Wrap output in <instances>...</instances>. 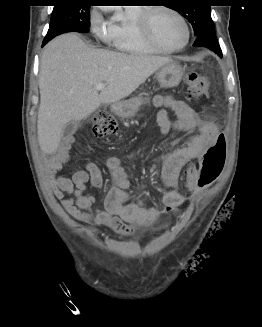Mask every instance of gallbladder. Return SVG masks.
<instances>
[{
  "instance_id": "gallbladder-1",
  "label": "gallbladder",
  "mask_w": 262,
  "mask_h": 327,
  "mask_svg": "<svg viewBox=\"0 0 262 327\" xmlns=\"http://www.w3.org/2000/svg\"><path fill=\"white\" fill-rule=\"evenodd\" d=\"M78 124L76 122H69L66 124L63 130V134L65 137H70L72 136L75 131L77 130Z\"/></svg>"
}]
</instances>
